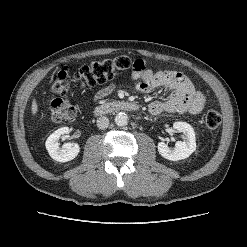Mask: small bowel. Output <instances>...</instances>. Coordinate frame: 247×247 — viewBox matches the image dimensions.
<instances>
[{"label": "small bowel", "mask_w": 247, "mask_h": 247, "mask_svg": "<svg viewBox=\"0 0 247 247\" xmlns=\"http://www.w3.org/2000/svg\"><path fill=\"white\" fill-rule=\"evenodd\" d=\"M140 60V59H139ZM136 67L133 69L132 77L137 81L136 87L142 93H149L154 88H167L170 95L165 100L151 102L148 106L150 113L160 114L162 112L169 113H189L199 114L204 106L205 97L197 91L192 82L181 72L177 71H153ZM114 89V84L110 83L101 88L95 98L102 99L109 95Z\"/></svg>", "instance_id": "1"}]
</instances>
